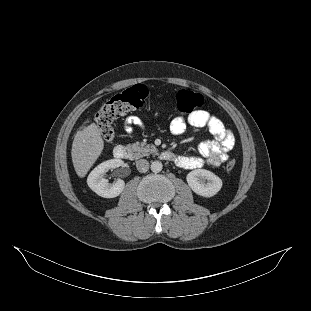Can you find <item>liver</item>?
Listing matches in <instances>:
<instances>
[{"mask_svg":"<svg viewBox=\"0 0 311 311\" xmlns=\"http://www.w3.org/2000/svg\"><path fill=\"white\" fill-rule=\"evenodd\" d=\"M89 123V120L85 122ZM104 141L95 123L83 125L77 131L72 143V162L77 175L85 177L89 169L102 153Z\"/></svg>","mask_w":311,"mask_h":311,"instance_id":"liver-1","label":"liver"}]
</instances>
